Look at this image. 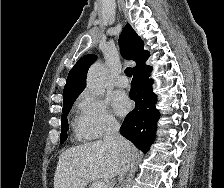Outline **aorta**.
<instances>
[{
  "label": "aorta",
  "mask_w": 224,
  "mask_h": 188,
  "mask_svg": "<svg viewBox=\"0 0 224 188\" xmlns=\"http://www.w3.org/2000/svg\"><path fill=\"white\" fill-rule=\"evenodd\" d=\"M105 67L102 63L93 64L87 75V88L96 95L104 93Z\"/></svg>",
  "instance_id": "762f6f07"
}]
</instances>
